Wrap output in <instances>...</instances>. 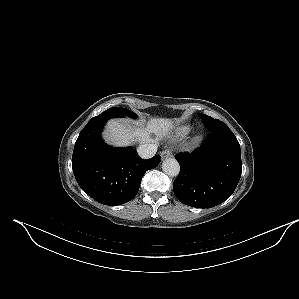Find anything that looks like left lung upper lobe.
I'll list each match as a JSON object with an SVG mask.
<instances>
[{
    "label": "left lung upper lobe",
    "mask_w": 299,
    "mask_h": 299,
    "mask_svg": "<svg viewBox=\"0 0 299 299\" xmlns=\"http://www.w3.org/2000/svg\"><path fill=\"white\" fill-rule=\"evenodd\" d=\"M198 115H199L200 119L202 120L204 126L209 131H212L213 129L225 124L224 122H222L218 119H213L212 117L205 115L203 113H198Z\"/></svg>",
    "instance_id": "left-lung-upper-lobe-1"
}]
</instances>
